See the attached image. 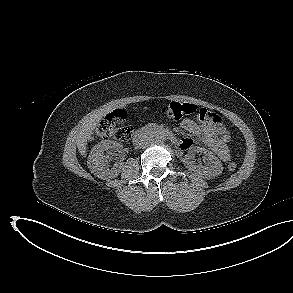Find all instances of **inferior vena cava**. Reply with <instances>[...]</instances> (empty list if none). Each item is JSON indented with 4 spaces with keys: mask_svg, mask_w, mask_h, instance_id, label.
I'll list each match as a JSON object with an SVG mask.
<instances>
[{
    "mask_svg": "<svg viewBox=\"0 0 293 293\" xmlns=\"http://www.w3.org/2000/svg\"><path fill=\"white\" fill-rule=\"evenodd\" d=\"M152 142V138L143 136L135 141L136 148H144Z\"/></svg>",
    "mask_w": 293,
    "mask_h": 293,
    "instance_id": "602c4592",
    "label": "inferior vena cava"
}]
</instances>
